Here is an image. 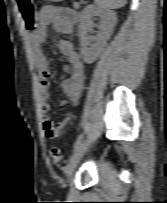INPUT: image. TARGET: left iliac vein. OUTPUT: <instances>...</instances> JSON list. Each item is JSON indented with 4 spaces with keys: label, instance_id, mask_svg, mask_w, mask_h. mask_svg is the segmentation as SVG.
I'll return each mask as SVG.
<instances>
[{
    "label": "left iliac vein",
    "instance_id": "obj_1",
    "mask_svg": "<svg viewBox=\"0 0 167 203\" xmlns=\"http://www.w3.org/2000/svg\"><path fill=\"white\" fill-rule=\"evenodd\" d=\"M85 149H86V141H83L79 145L77 150L74 152V154L71 156V158L66 166V169H65L68 182L71 180L72 173L75 170L78 163L80 162V160L85 152Z\"/></svg>",
    "mask_w": 167,
    "mask_h": 203
}]
</instances>
